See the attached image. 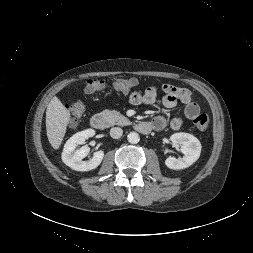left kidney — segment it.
<instances>
[{"label": "left kidney", "mask_w": 253, "mask_h": 253, "mask_svg": "<svg viewBox=\"0 0 253 253\" xmlns=\"http://www.w3.org/2000/svg\"><path fill=\"white\" fill-rule=\"evenodd\" d=\"M170 140L173 144H179L180 150L184 154L182 158L168 157L165 160V165L174 170L184 169L192 165L198 160L201 153L200 141L189 133H175L171 135Z\"/></svg>", "instance_id": "5707ae66"}]
</instances>
